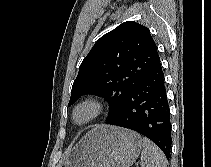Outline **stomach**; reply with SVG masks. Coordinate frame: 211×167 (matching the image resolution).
Instances as JSON below:
<instances>
[{
  "label": "stomach",
  "mask_w": 211,
  "mask_h": 167,
  "mask_svg": "<svg viewBox=\"0 0 211 167\" xmlns=\"http://www.w3.org/2000/svg\"><path fill=\"white\" fill-rule=\"evenodd\" d=\"M142 147V138L134 131L96 126L66 154L60 167H130Z\"/></svg>",
  "instance_id": "0dacf381"
}]
</instances>
